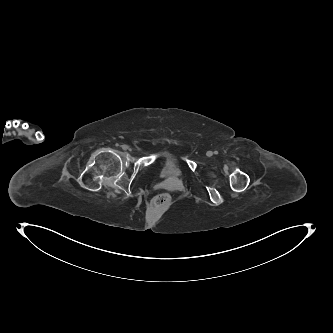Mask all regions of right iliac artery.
<instances>
[{
	"label": "right iliac artery",
	"instance_id": "right-iliac-artery-1",
	"mask_svg": "<svg viewBox=\"0 0 333 333\" xmlns=\"http://www.w3.org/2000/svg\"><path fill=\"white\" fill-rule=\"evenodd\" d=\"M121 147H122V149H123V150H127V149H128V146H127V145H125V144H124V145H122Z\"/></svg>",
	"mask_w": 333,
	"mask_h": 333
}]
</instances>
